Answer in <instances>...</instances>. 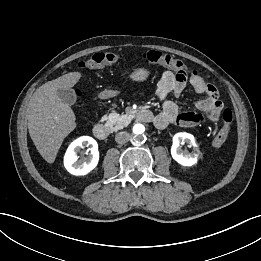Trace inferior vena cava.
I'll use <instances>...</instances> for the list:
<instances>
[{"mask_svg":"<svg viewBox=\"0 0 261 261\" xmlns=\"http://www.w3.org/2000/svg\"><path fill=\"white\" fill-rule=\"evenodd\" d=\"M129 140V133L121 131L115 135V141L118 144H125Z\"/></svg>","mask_w":261,"mask_h":261,"instance_id":"obj_1","label":"inferior vena cava"}]
</instances>
